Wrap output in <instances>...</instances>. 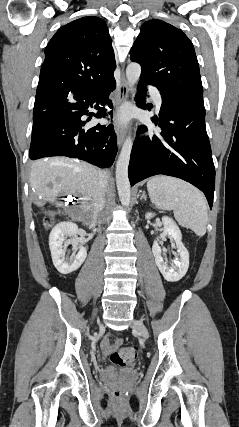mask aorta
<instances>
[{
    "label": "aorta",
    "mask_w": 239,
    "mask_h": 427,
    "mask_svg": "<svg viewBox=\"0 0 239 427\" xmlns=\"http://www.w3.org/2000/svg\"><path fill=\"white\" fill-rule=\"evenodd\" d=\"M141 75V66L138 63H130L126 69L127 84L129 88L134 89L135 84ZM132 139L128 136L122 146L120 155L116 163V185L120 202L128 207L131 202L130 182L128 178V166L132 150Z\"/></svg>",
    "instance_id": "aorta-1"
}]
</instances>
